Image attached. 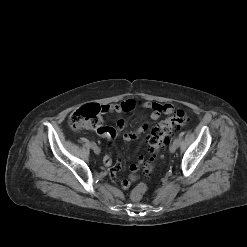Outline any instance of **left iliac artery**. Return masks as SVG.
<instances>
[{
    "instance_id": "44dca946",
    "label": "left iliac artery",
    "mask_w": 247,
    "mask_h": 247,
    "mask_svg": "<svg viewBox=\"0 0 247 247\" xmlns=\"http://www.w3.org/2000/svg\"><path fill=\"white\" fill-rule=\"evenodd\" d=\"M173 142L178 145L179 144V139L175 138Z\"/></svg>"
}]
</instances>
